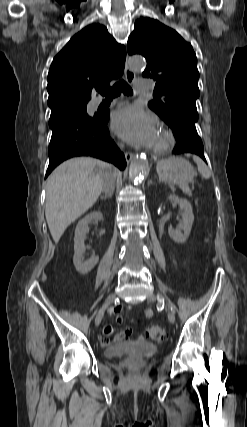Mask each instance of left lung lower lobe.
Returning <instances> with one entry per match:
<instances>
[{"mask_svg": "<svg viewBox=\"0 0 247 427\" xmlns=\"http://www.w3.org/2000/svg\"><path fill=\"white\" fill-rule=\"evenodd\" d=\"M168 125L172 128L173 135L177 140V144L172 151L174 154L191 153L206 162L203 143L197 133L195 122L178 118Z\"/></svg>", "mask_w": 247, "mask_h": 427, "instance_id": "0a47b994", "label": "left lung lower lobe"}]
</instances>
